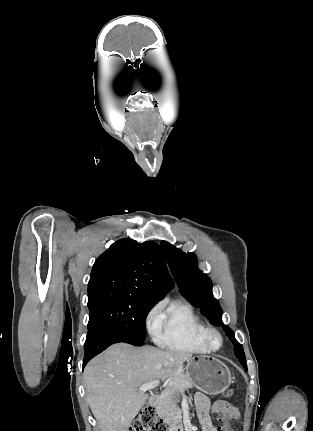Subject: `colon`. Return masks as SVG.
Wrapping results in <instances>:
<instances>
[{"label":"colon","instance_id":"colon-1","mask_svg":"<svg viewBox=\"0 0 313 431\" xmlns=\"http://www.w3.org/2000/svg\"><path fill=\"white\" fill-rule=\"evenodd\" d=\"M234 395L233 389L225 391V396L231 398ZM130 431H166V425L163 420L158 417L156 410L152 406H147L142 409L139 415L133 420ZM218 431H232L227 424L218 428Z\"/></svg>","mask_w":313,"mask_h":431}]
</instances>
